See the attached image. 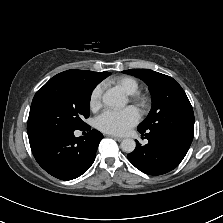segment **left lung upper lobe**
<instances>
[{
  "label": "left lung upper lobe",
  "instance_id": "1",
  "mask_svg": "<svg viewBox=\"0 0 223 223\" xmlns=\"http://www.w3.org/2000/svg\"><path fill=\"white\" fill-rule=\"evenodd\" d=\"M124 73L142 79L151 93V111L139 124L138 130H166L193 137L192 106L184 90L172 77L149 69H130Z\"/></svg>",
  "mask_w": 223,
  "mask_h": 223
}]
</instances>
